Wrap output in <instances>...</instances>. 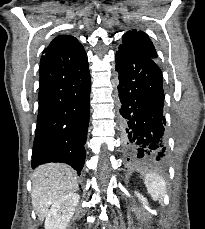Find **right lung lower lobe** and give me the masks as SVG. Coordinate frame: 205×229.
<instances>
[{
  "instance_id": "1",
  "label": "right lung lower lobe",
  "mask_w": 205,
  "mask_h": 229,
  "mask_svg": "<svg viewBox=\"0 0 205 229\" xmlns=\"http://www.w3.org/2000/svg\"><path fill=\"white\" fill-rule=\"evenodd\" d=\"M39 110L32 153V168L62 162L80 175L85 162L90 112L88 62L68 68L50 48L39 66Z\"/></svg>"
}]
</instances>
